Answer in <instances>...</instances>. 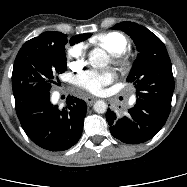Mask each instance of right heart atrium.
Returning <instances> with one entry per match:
<instances>
[{"instance_id": "right-heart-atrium-1", "label": "right heart atrium", "mask_w": 187, "mask_h": 187, "mask_svg": "<svg viewBox=\"0 0 187 187\" xmlns=\"http://www.w3.org/2000/svg\"><path fill=\"white\" fill-rule=\"evenodd\" d=\"M86 46L77 44L69 50L68 59L73 69H81L84 65Z\"/></svg>"}]
</instances>
